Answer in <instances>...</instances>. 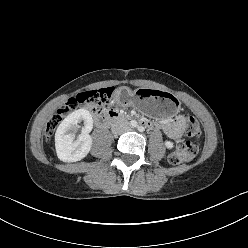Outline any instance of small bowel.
I'll list each match as a JSON object with an SVG mask.
<instances>
[{
    "mask_svg": "<svg viewBox=\"0 0 248 248\" xmlns=\"http://www.w3.org/2000/svg\"><path fill=\"white\" fill-rule=\"evenodd\" d=\"M185 124L186 118L182 115H179L169 122L162 123L160 126L168 137L176 139L182 135Z\"/></svg>",
    "mask_w": 248,
    "mask_h": 248,
    "instance_id": "small-bowel-1",
    "label": "small bowel"
}]
</instances>
